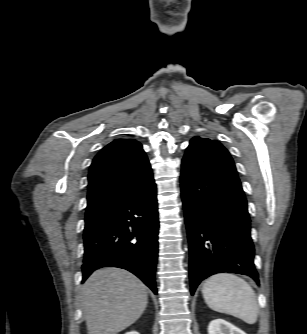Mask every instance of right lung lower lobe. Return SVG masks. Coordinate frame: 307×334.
Segmentation results:
<instances>
[{"label":"right lung lower lobe","instance_id":"1","mask_svg":"<svg viewBox=\"0 0 307 334\" xmlns=\"http://www.w3.org/2000/svg\"><path fill=\"white\" fill-rule=\"evenodd\" d=\"M158 228L153 181L84 229L82 282L98 268L119 267L134 273L157 294Z\"/></svg>","mask_w":307,"mask_h":334}]
</instances>
